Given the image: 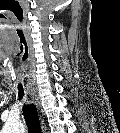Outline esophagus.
<instances>
[{"instance_id": "34e87169", "label": "esophagus", "mask_w": 120, "mask_h": 133, "mask_svg": "<svg viewBox=\"0 0 120 133\" xmlns=\"http://www.w3.org/2000/svg\"><path fill=\"white\" fill-rule=\"evenodd\" d=\"M31 94L33 95V98H34V94H35V93H34V92H32ZM36 104H37V103H36Z\"/></svg>"}]
</instances>
